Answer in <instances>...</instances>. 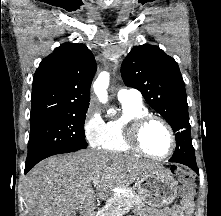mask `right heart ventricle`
I'll use <instances>...</instances> for the list:
<instances>
[{
  "instance_id": "e07e8e85",
  "label": "right heart ventricle",
  "mask_w": 221,
  "mask_h": 216,
  "mask_svg": "<svg viewBox=\"0 0 221 216\" xmlns=\"http://www.w3.org/2000/svg\"><path fill=\"white\" fill-rule=\"evenodd\" d=\"M121 114L105 123L101 148L117 153H130L134 150L126 140V129L135 119L149 114L148 108L140 101H120Z\"/></svg>"
}]
</instances>
